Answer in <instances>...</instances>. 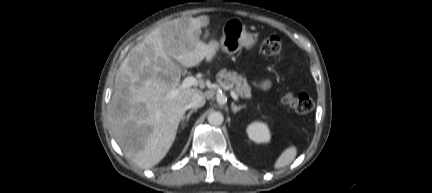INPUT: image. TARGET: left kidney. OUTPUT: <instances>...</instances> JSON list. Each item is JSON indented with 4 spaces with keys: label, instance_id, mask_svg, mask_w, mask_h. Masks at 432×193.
<instances>
[{
    "label": "left kidney",
    "instance_id": "1",
    "mask_svg": "<svg viewBox=\"0 0 432 193\" xmlns=\"http://www.w3.org/2000/svg\"><path fill=\"white\" fill-rule=\"evenodd\" d=\"M249 138L256 143L269 142L271 134L268 126L263 122H253L247 127Z\"/></svg>",
    "mask_w": 432,
    "mask_h": 193
}]
</instances>
